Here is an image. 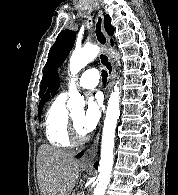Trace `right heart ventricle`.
Segmentation results:
<instances>
[{"label": "right heart ventricle", "mask_w": 178, "mask_h": 195, "mask_svg": "<svg viewBox=\"0 0 178 195\" xmlns=\"http://www.w3.org/2000/svg\"><path fill=\"white\" fill-rule=\"evenodd\" d=\"M66 95H57L45 115V135L55 147L68 148L72 143L68 136L69 113L65 105Z\"/></svg>", "instance_id": "e07e8e85"}]
</instances>
